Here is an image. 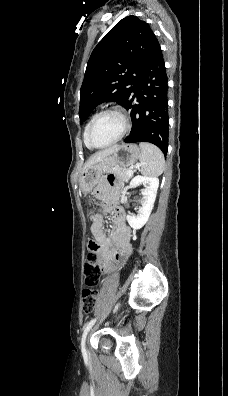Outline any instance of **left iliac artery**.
<instances>
[{
    "mask_svg": "<svg viewBox=\"0 0 228 396\" xmlns=\"http://www.w3.org/2000/svg\"><path fill=\"white\" fill-rule=\"evenodd\" d=\"M95 322H96V318L90 320V321L86 324V326H85V329H84V332H83V335H82V340H81V347H82V350H85V340H86V336H87L89 330L91 329V327L94 325Z\"/></svg>",
    "mask_w": 228,
    "mask_h": 396,
    "instance_id": "1",
    "label": "left iliac artery"
}]
</instances>
